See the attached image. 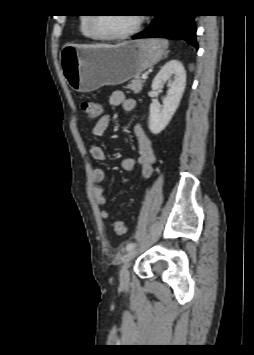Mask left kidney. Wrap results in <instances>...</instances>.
<instances>
[{
    "instance_id": "obj_1",
    "label": "left kidney",
    "mask_w": 254,
    "mask_h": 355,
    "mask_svg": "<svg viewBox=\"0 0 254 355\" xmlns=\"http://www.w3.org/2000/svg\"><path fill=\"white\" fill-rule=\"evenodd\" d=\"M172 76L173 80L169 84L163 105L157 102L150 105L149 129L153 134L164 130L176 112L186 86V71L180 61L171 60L161 68L152 82V89L159 90Z\"/></svg>"
}]
</instances>
